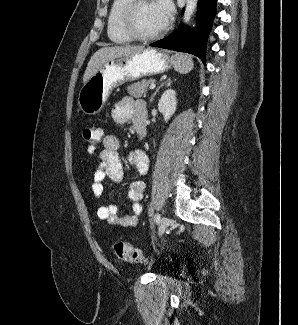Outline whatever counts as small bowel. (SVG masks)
<instances>
[{"mask_svg": "<svg viewBox=\"0 0 298 325\" xmlns=\"http://www.w3.org/2000/svg\"><path fill=\"white\" fill-rule=\"evenodd\" d=\"M140 101H134L131 97H124L115 104L112 110V118L118 125H124L133 119V109ZM120 140L114 134L104 135L102 138V150L98 156V168L93 175L92 192L99 198L103 192V180L110 178L113 182L119 183L123 178V167L118 154ZM128 162L136 168L140 175L148 171L149 160L146 153L140 149L133 150L128 155ZM145 184L141 180L133 181L130 184L128 196L132 201V213L119 214L115 204L102 205L97 211L100 219L106 220L111 225L132 227L139 222L143 212L141 199Z\"/></svg>", "mask_w": 298, "mask_h": 325, "instance_id": "1", "label": "small bowel"}]
</instances>
